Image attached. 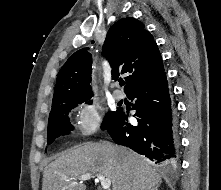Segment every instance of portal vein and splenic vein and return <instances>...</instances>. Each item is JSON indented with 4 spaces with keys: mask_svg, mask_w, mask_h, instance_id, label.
Segmentation results:
<instances>
[{
    "mask_svg": "<svg viewBox=\"0 0 221 190\" xmlns=\"http://www.w3.org/2000/svg\"><path fill=\"white\" fill-rule=\"evenodd\" d=\"M93 175L96 176V181H100L101 186L104 190H109L110 186H111V180L108 178H105L103 175L101 174H91V173H87L84 174L82 176L79 177L80 181H86L89 180ZM73 180V178L68 179V181ZM76 180V179H74Z\"/></svg>",
    "mask_w": 221,
    "mask_h": 190,
    "instance_id": "18ae733b",
    "label": "portal vein and splenic vein"
}]
</instances>
